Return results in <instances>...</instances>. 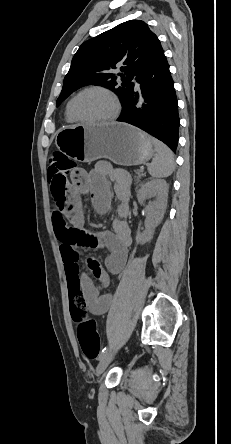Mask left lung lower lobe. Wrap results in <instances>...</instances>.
I'll return each mask as SVG.
<instances>
[{
    "label": "left lung lower lobe",
    "instance_id": "0a47b994",
    "mask_svg": "<svg viewBox=\"0 0 231 444\" xmlns=\"http://www.w3.org/2000/svg\"><path fill=\"white\" fill-rule=\"evenodd\" d=\"M135 80L139 91L133 85L118 121L139 127L176 152L178 106L174 82L162 48L142 67Z\"/></svg>",
    "mask_w": 231,
    "mask_h": 444
}]
</instances>
